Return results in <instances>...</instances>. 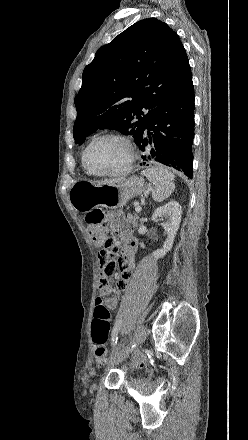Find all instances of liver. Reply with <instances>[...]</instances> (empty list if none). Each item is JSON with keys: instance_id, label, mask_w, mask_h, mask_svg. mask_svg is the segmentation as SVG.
<instances>
[{"instance_id": "1", "label": "liver", "mask_w": 248, "mask_h": 440, "mask_svg": "<svg viewBox=\"0 0 248 440\" xmlns=\"http://www.w3.org/2000/svg\"><path fill=\"white\" fill-rule=\"evenodd\" d=\"M119 181H121V180H110V181H107V182H105V183H110V182H119Z\"/></svg>"}]
</instances>
